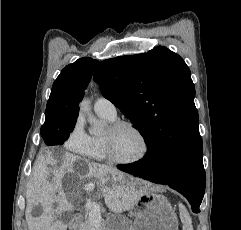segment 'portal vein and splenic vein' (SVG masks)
<instances>
[{
	"instance_id": "portal-vein-and-splenic-vein-1",
	"label": "portal vein and splenic vein",
	"mask_w": 241,
	"mask_h": 230,
	"mask_svg": "<svg viewBox=\"0 0 241 230\" xmlns=\"http://www.w3.org/2000/svg\"><path fill=\"white\" fill-rule=\"evenodd\" d=\"M88 189H92V187H88ZM86 208L89 211V220L91 223L98 225L102 222V216L100 213V207L97 203L87 202Z\"/></svg>"
}]
</instances>
